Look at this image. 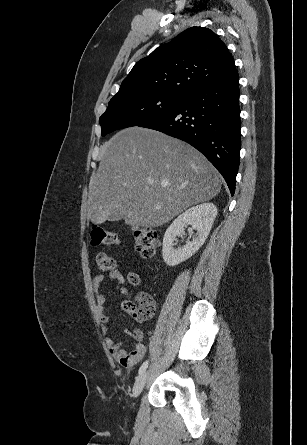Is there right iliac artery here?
Here are the masks:
<instances>
[{
	"mask_svg": "<svg viewBox=\"0 0 307 445\" xmlns=\"http://www.w3.org/2000/svg\"><path fill=\"white\" fill-rule=\"evenodd\" d=\"M147 367H148V361L143 362V364L139 368L138 374L141 375L146 370Z\"/></svg>",
	"mask_w": 307,
	"mask_h": 445,
	"instance_id": "obj_1",
	"label": "right iliac artery"
}]
</instances>
